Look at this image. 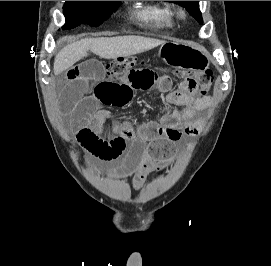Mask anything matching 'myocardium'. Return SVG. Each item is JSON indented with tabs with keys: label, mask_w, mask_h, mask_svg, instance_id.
Segmentation results:
<instances>
[{
	"label": "myocardium",
	"mask_w": 271,
	"mask_h": 266,
	"mask_svg": "<svg viewBox=\"0 0 271 266\" xmlns=\"http://www.w3.org/2000/svg\"><path fill=\"white\" fill-rule=\"evenodd\" d=\"M176 14L179 18L184 19L186 17V10L183 7H178L176 9Z\"/></svg>",
	"instance_id": "obj_1"
}]
</instances>
